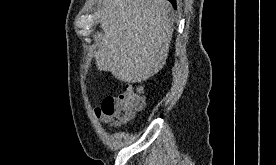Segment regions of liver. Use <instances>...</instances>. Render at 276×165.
Wrapping results in <instances>:
<instances>
[{"mask_svg": "<svg viewBox=\"0 0 276 165\" xmlns=\"http://www.w3.org/2000/svg\"><path fill=\"white\" fill-rule=\"evenodd\" d=\"M94 36L96 66L126 83H141L166 64L174 31L167 0H102Z\"/></svg>", "mask_w": 276, "mask_h": 165, "instance_id": "liver-1", "label": "liver"}]
</instances>
